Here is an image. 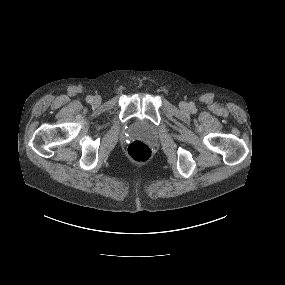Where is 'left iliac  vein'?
<instances>
[{"label":"left iliac vein","instance_id":"4c4485c4","mask_svg":"<svg viewBox=\"0 0 285 285\" xmlns=\"http://www.w3.org/2000/svg\"><path fill=\"white\" fill-rule=\"evenodd\" d=\"M180 109H181L182 111H187V110H188V104L185 103V102H182V103L180 104Z\"/></svg>","mask_w":285,"mask_h":285}]
</instances>
